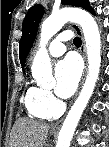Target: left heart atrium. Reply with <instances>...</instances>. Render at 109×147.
<instances>
[{"label":"left heart atrium","mask_w":109,"mask_h":147,"mask_svg":"<svg viewBox=\"0 0 109 147\" xmlns=\"http://www.w3.org/2000/svg\"><path fill=\"white\" fill-rule=\"evenodd\" d=\"M81 76V65L78 58L69 55L55 67L54 91L61 98H69L75 92Z\"/></svg>","instance_id":"1"}]
</instances>
